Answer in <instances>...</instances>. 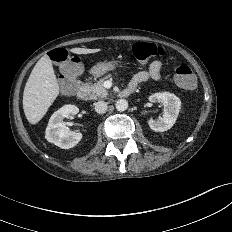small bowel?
Listing matches in <instances>:
<instances>
[{"instance_id": "small-bowel-1", "label": "small bowel", "mask_w": 232, "mask_h": 232, "mask_svg": "<svg viewBox=\"0 0 232 232\" xmlns=\"http://www.w3.org/2000/svg\"><path fill=\"white\" fill-rule=\"evenodd\" d=\"M161 69L162 62L160 60L152 61L147 70L140 71L134 75L129 84V87L133 90L140 83H143L149 79L159 80L161 78Z\"/></svg>"}]
</instances>
